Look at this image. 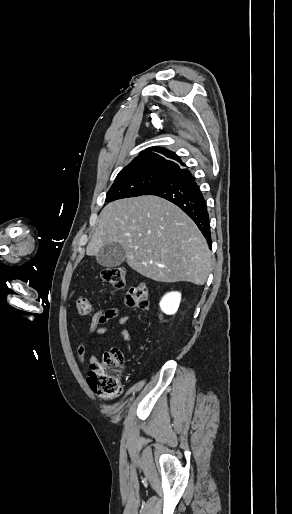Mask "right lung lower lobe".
I'll use <instances>...</instances> for the list:
<instances>
[{"label":"right lung lower lobe","mask_w":292,"mask_h":514,"mask_svg":"<svg viewBox=\"0 0 292 514\" xmlns=\"http://www.w3.org/2000/svg\"><path fill=\"white\" fill-rule=\"evenodd\" d=\"M144 195L162 197L181 208L198 226L211 248V233L206 201L189 170L178 171Z\"/></svg>","instance_id":"98d812e1"}]
</instances>
